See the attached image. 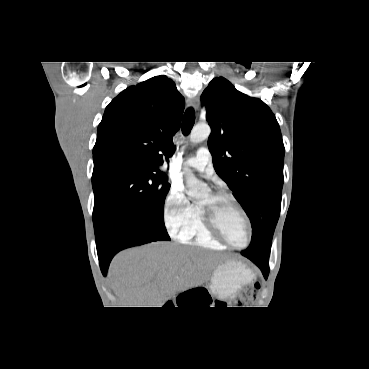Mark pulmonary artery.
I'll use <instances>...</instances> for the list:
<instances>
[{"instance_id":"pulmonary-artery-1","label":"pulmonary artery","mask_w":369,"mask_h":369,"mask_svg":"<svg viewBox=\"0 0 369 369\" xmlns=\"http://www.w3.org/2000/svg\"><path fill=\"white\" fill-rule=\"evenodd\" d=\"M183 164L210 177L213 172L212 156L208 148H199L196 155L184 160Z\"/></svg>"}]
</instances>
